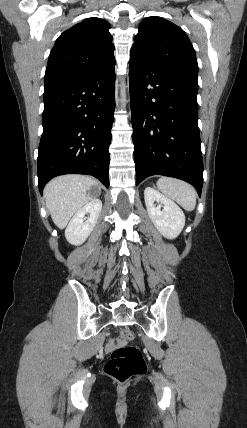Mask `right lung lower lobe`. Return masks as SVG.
I'll return each mask as SVG.
<instances>
[{
    "mask_svg": "<svg viewBox=\"0 0 247 428\" xmlns=\"http://www.w3.org/2000/svg\"><path fill=\"white\" fill-rule=\"evenodd\" d=\"M115 60L68 83L45 87L39 190L55 176L87 174L109 187V145L115 108Z\"/></svg>",
    "mask_w": 247,
    "mask_h": 428,
    "instance_id": "obj_1",
    "label": "right lung lower lobe"
}]
</instances>
